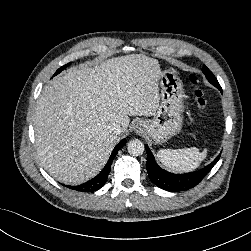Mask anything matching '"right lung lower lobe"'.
Returning <instances> with one entry per match:
<instances>
[{
  "label": "right lung lower lobe",
  "mask_w": 251,
  "mask_h": 251,
  "mask_svg": "<svg viewBox=\"0 0 251 251\" xmlns=\"http://www.w3.org/2000/svg\"><path fill=\"white\" fill-rule=\"evenodd\" d=\"M126 143V140L123 139L112 151L111 156L105 165L104 169L91 180L77 186H66L72 190H77L81 192H94L103 187L107 181L112 162L117 155L118 150Z\"/></svg>",
  "instance_id": "1"
}]
</instances>
